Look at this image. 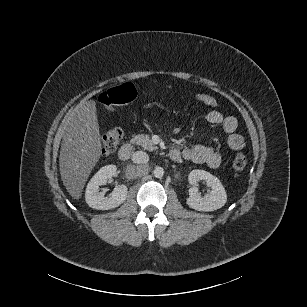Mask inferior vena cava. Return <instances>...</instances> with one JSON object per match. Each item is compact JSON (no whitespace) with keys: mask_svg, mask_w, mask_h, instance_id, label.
Masks as SVG:
<instances>
[{"mask_svg":"<svg viewBox=\"0 0 307 307\" xmlns=\"http://www.w3.org/2000/svg\"><path fill=\"white\" fill-rule=\"evenodd\" d=\"M132 161L136 164H145L149 161V156L143 151H136L132 155Z\"/></svg>","mask_w":307,"mask_h":307,"instance_id":"1","label":"inferior vena cava"}]
</instances>
